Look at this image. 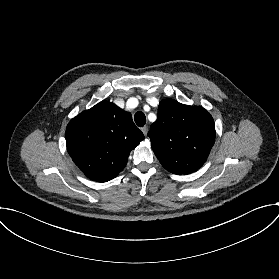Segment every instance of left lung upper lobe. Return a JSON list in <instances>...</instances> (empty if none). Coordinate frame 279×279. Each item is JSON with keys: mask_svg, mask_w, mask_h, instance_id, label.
<instances>
[{"mask_svg": "<svg viewBox=\"0 0 279 279\" xmlns=\"http://www.w3.org/2000/svg\"><path fill=\"white\" fill-rule=\"evenodd\" d=\"M215 135L214 120L203 107L173 99L160 102L158 118L148 132L162 166L177 175L192 173L205 163Z\"/></svg>", "mask_w": 279, "mask_h": 279, "instance_id": "obj_1", "label": "left lung upper lobe"}]
</instances>
